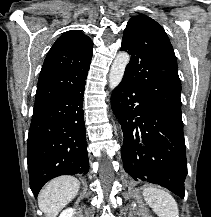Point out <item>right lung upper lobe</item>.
Instances as JSON below:
<instances>
[{
	"mask_svg": "<svg viewBox=\"0 0 211 217\" xmlns=\"http://www.w3.org/2000/svg\"><path fill=\"white\" fill-rule=\"evenodd\" d=\"M92 55L93 42L81 31L61 35L42 66L34 107L64 95L86 79Z\"/></svg>",
	"mask_w": 211,
	"mask_h": 217,
	"instance_id": "obj_1",
	"label": "right lung upper lobe"
}]
</instances>
